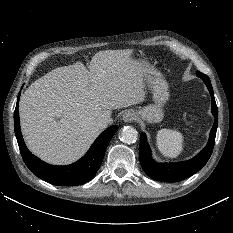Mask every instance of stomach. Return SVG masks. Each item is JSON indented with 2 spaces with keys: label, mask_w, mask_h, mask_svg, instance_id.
Listing matches in <instances>:
<instances>
[{
  "label": "stomach",
  "mask_w": 233,
  "mask_h": 233,
  "mask_svg": "<svg viewBox=\"0 0 233 233\" xmlns=\"http://www.w3.org/2000/svg\"><path fill=\"white\" fill-rule=\"evenodd\" d=\"M143 63L146 65L144 77L154 103L140 108L138 110V116L140 119L149 123H158L164 117L163 107L169 100V87L160 72L147 63Z\"/></svg>",
  "instance_id": "obj_1"
}]
</instances>
